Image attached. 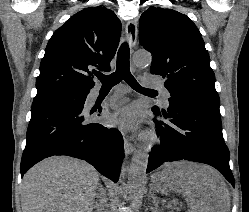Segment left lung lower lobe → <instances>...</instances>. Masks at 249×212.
<instances>
[{
    "label": "left lung lower lobe",
    "mask_w": 249,
    "mask_h": 212,
    "mask_svg": "<svg viewBox=\"0 0 249 212\" xmlns=\"http://www.w3.org/2000/svg\"><path fill=\"white\" fill-rule=\"evenodd\" d=\"M152 111L162 117L154 119L161 143L152 150L146 173L166 162L188 160L213 166L234 186L218 105L178 97L169 98L167 111L158 106Z\"/></svg>",
    "instance_id": "obj_1"
}]
</instances>
